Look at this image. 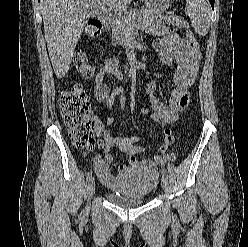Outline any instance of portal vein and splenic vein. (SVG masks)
Segmentation results:
<instances>
[{"mask_svg": "<svg viewBox=\"0 0 248 247\" xmlns=\"http://www.w3.org/2000/svg\"><path fill=\"white\" fill-rule=\"evenodd\" d=\"M101 11H102V12H107V11H110V10H107V8L105 7V8H102Z\"/></svg>", "mask_w": 248, "mask_h": 247, "instance_id": "18ae733b", "label": "portal vein and splenic vein"}]
</instances>
